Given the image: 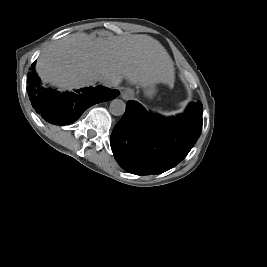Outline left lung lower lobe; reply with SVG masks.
Here are the masks:
<instances>
[{
    "mask_svg": "<svg viewBox=\"0 0 267 267\" xmlns=\"http://www.w3.org/2000/svg\"><path fill=\"white\" fill-rule=\"evenodd\" d=\"M202 103H191L173 118L151 114L136 101L126 103L110 139L118 164L136 175H155L180 163L200 136Z\"/></svg>",
    "mask_w": 267,
    "mask_h": 267,
    "instance_id": "1",
    "label": "left lung lower lobe"
}]
</instances>
